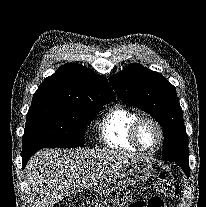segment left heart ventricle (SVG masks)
I'll use <instances>...</instances> for the list:
<instances>
[{"label": "left heart ventricle", "mask_w": 206, "mask_h": 207, "mask_svg": "<svg viewBox=\"0 0 206 207\" xmlns=\"http://www.w3.org/2000/svg\"><path fill=\"white\" fill-rule=\"evenodd\" d=\"M139 141L145 149H154L159 143V132L151 122H143L138 130Z\"/></svg>", "instance_id": "left-heart-ventricle-1"}]
</instances>
